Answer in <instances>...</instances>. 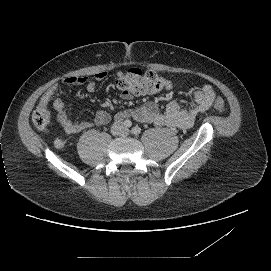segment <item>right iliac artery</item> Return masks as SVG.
<instances>
[{
  "label": "right iliac artery",
  "instance_id": "82829eb1",
  "mask_svg": "<svg viewBox=\"0 0 271 271\" xmlns=\"http://www.w3.org/2000/svg\"><path fill=\"white\" fill-rule=\"evenodd\" d=\"M131 125H132V122H131L130 120L127 119V120L124 121V126H125L126 128H130Z\"/></svg>",
  "mask_w": 271,
  "mask_h": 271
}]
</instances>
